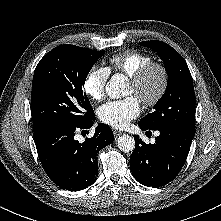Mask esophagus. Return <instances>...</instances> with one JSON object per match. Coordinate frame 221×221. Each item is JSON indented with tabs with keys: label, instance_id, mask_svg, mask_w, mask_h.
<instances>
[{
	"label": "esophagus",
	"instance_id": "esophagus-1",
	"mask_svg": "<svg viewBox=\"0 0 221 221\" xmlns=\"http://www.w3.org/2000/svg\"><path fill=\"white\" fill-rule=\"evenodd\" d=\"M113 133H114L115 137H118V136L122 135V132L119 131V130H114Z\"/></svg>",
	"mask_w": 221,
	"mask_h": 221
}]
</instances>
